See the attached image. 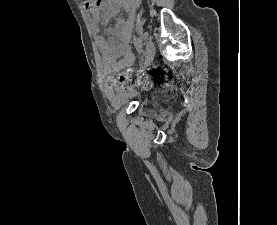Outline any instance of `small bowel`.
I'll return each instance as SVG.
<instances>
[{"label":"small bowel","mask_w":277,"mask_h":225,"mask_svg":"<svg viewBox=\"0 0 277 225\" xmlns=\"http://www.w3.org/2000/svg\"><path fill=\"white\" fill-rule=\"evenodd\" d=\"M138 4L139 0H108L103 5L87 4L91 14V26L97 34V45L103 57L106 76L104 90L109 101L114 104L124 101L127 90L113 86L112 74L135 63V56L129 47L128 39ZM100 7H102L101 11ZM119 7L124 9L127 18H117L113 28H107L101 32L100 26L108 25Z\"/></svg>","instance_id":"obj_1"}]
</instances>
